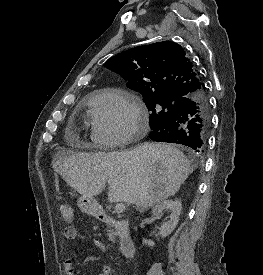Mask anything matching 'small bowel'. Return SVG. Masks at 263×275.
Here are the masks:
<instances>
[{
    "instance_id": "obj_1",
    "label": "small bowel",
    "mask_w": 263,
    "mask_h": 275,
    "mask_svg": "<svg viewBox=\"0 0 263 275\" xmlns=\"http://www.w3.org/2000/svg\"><path fill=\"white\" fill-rule=\"evenodd\" d=\"M64 235L67 239H75L77 237L78 233H77V230L75 227L69 226L65 229ZM92 244L94 247L100 249L102 252L107 251L106 245L98 239H95V238L92 239ZM91 260H93L92 256L87 255L85 257V261H91ZM64 267H65V271H66L67 275H76L75 266H74L73 259L71 256H69L65 259ZM111 272H112L111 267L109 265H105V266H103L99 275H111Z\"/></svg>"
}]
</instances>
